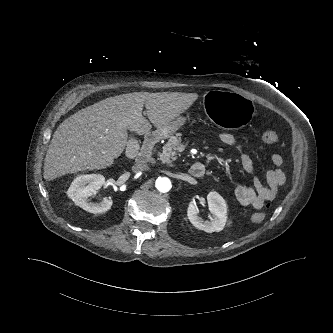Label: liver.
I'll use <instances>...</instances> for the list:
<instances>
[{"instance_id":"6515ba94","label":"liver","mask_w":333,"mask_h":333,"mask_svg":"<svg viewBox=\"0 0 333 333\" xmlns=\"http://www.w3.org/2000/svg\"><path fill=\"white\" fill-rule=\"evenodd\" d=\"M198 98L196 93L134 92L106 98L65 119L54 132L44 162V178L110 167L127 142L168 125ZM149 121L143 117V107Z\"/></svg>"}]
</instances>
